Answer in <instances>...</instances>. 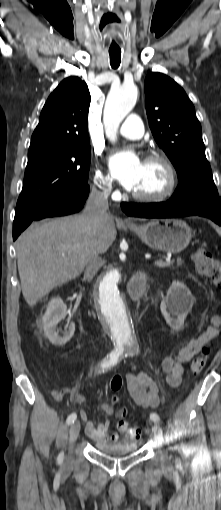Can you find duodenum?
<instances>
[{
	"instance_id": "duodenum-1",
	"label": "duodenum",
	"mask_w": 221,
	"mask_h": 510,
	"mask_svg": "<svg viewBox=\"0 0 221 510\" xmlns=\"http://www.w3.org/2000/svg\"><path fill=\"white\" fill-rule=\"evenodd\" d=\"M146 285L147 275L144 272H139L133 277L129 283L128 291L134 301L139 300L143 296Z\"/></svg>"
}]
</instances>
